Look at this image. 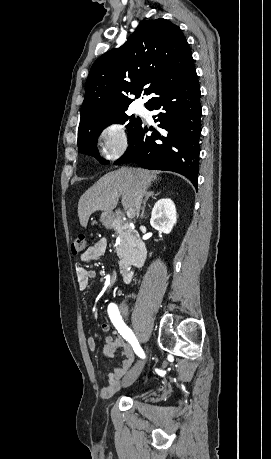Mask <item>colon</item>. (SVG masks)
I'll return each mask as SVG.
<instances>
[{"instance_id":"colon-1","label":"colon","mask_w":271,"mask_h":459,"mask_svg":"<svg viewBox=\"0 0 271 459\" xmlns=\"http://www.w3.org/2000/svg\"><path fill=\"white\" fill-rule=\"evenodd\" d=\"M87 237L85 234H79L72 242V252L74 254H82L85 252Z\"/></svg>"}]
</instances>
